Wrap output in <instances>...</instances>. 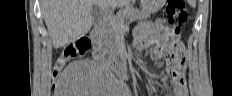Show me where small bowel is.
<instances>
[{"label":"small bowel","mask_w":232,"mask_h":96,"mask_svg":"<svg viewBox=\"0 0 232 96\" xmlns=\"http://www.w3.org/2000/svg\"><path fill=\"white\" fill-rule=\"evenodd\" d=\"M157 20H166V15H157ZM164 28V25H156L155 27L152 22L143 21L139 23L134 30V43L139 45L159 43V39H163V35H166L167 33ZM175 45L178 49L175 57L176 66L172 65L168 72L171 75L173 95L186 96V81L182 71V66L185 64V56L183 55V47L181 43L179 41H175ZM161 56V51H158L156 57L158 58ZM178 68L180 69L179 72L176 71Z\"/></svg>","instance_id":"obj_1"}]
</instances>
